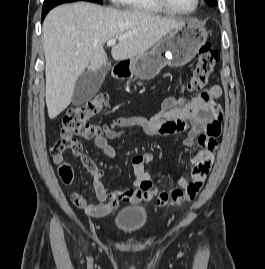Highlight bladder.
<instances>
[{
  "instance_id": "1",
  "label": "bladder",
  "mask_w": 265,
  "mask_h": 269,
  "mask_svg": "<svg viewBox=\"0 0 265 269\" xmlns=\"http://www.w3.org/2000/svg\"><path fill=\"white\" fill-rule=\"evenodd\" d=\"M148 210L142 206H131L119 211L113 220L114 228L123 233H135L148 223Z\"/></svg>"
}]
</instances>
